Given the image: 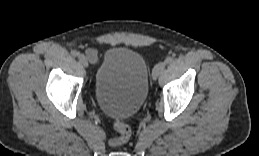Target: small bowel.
<instances>
[{
  "label": "small bowel",
  "mask_w": 259,
  "mask_h": 156,
  "mask_svg": "<svg viewBox=\"0 0 259 156\" xmlns=\"http://www.w3.org/2000/svg\"><path fill=\"white\" fill-rule=\"evenodd\" d=\"M87 56H88V59L90 60V62H92V63H97L99 60L98 54H97L96 50H94V49H88Z\"/></svg>",
  "instance_id": "1"
}]
</instances>
